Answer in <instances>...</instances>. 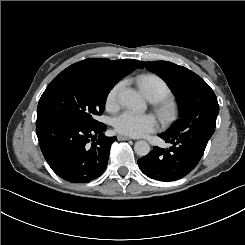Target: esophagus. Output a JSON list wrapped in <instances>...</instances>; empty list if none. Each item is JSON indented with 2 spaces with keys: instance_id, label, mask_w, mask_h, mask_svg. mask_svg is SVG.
<instances>
[{
  "instance_id": "obj_1",
  "label": "esophagus",
  "mask_w": 245,
  "mask_h": 245,
  "mask_svg": "<svg viewBox=\"0 0 245 245\" xmlns=\"http://www.w3.org/2000/svg\"><path fill=\"white\" fill-rule=\"evenodd\" d=\"M117 139L119 141H124V140H131L132 138L128 137V136H123V135H118Z\"/></svg>"
}]
</instances>
